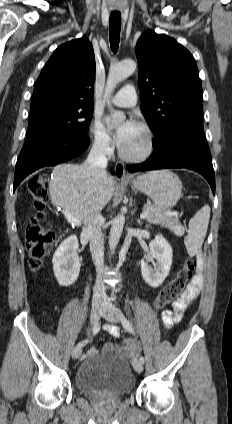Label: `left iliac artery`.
Returning <instances> with one entry per match:
<instances>
[{
  "label": "left iliac artery",
  "mask_w": 232,
  "mask_h": 424,
  "mask_svg": "<svg viewBox=\"0 0 232 424\" xmlns=\"http://www.w3.org/2000/svg\"><path fill=\"white\" fill-rule=\"evenodd\" d=\"M121 322H122V325H123V327L128 331V332H130V333H134V329H133V327H132V324L125 318V317H122V319H121ZM140 361L142 362V363H144L145 362V359H144V357H140Z\"/></svg>",
  "instance_id": "obj_1"
}]
</instances>
